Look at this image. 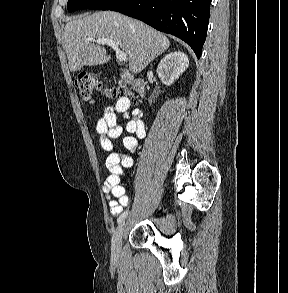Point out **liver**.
<instances>
[{
  "label": "liver",
  "mask_w": 288,
  "mask_h": 293,
  "mask_svg": "<svg viewBox=\"0 0 288 293\" xmlns=\"http://www.w3.org/2000/svg\"><path fill=\"white\" fill-rule=\"evenodd\" d=\"M88 38L114 40L126 53L131 72L140 73L170 46L168 38L145 23L112 11L71 19L64 28V48L70 71L107 63L111 56Z\"/></svg>",
  "instance_id": "6515ba94"
}]
</instances>
